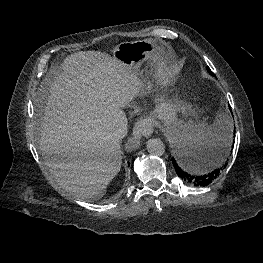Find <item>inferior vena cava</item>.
<instances>
[{
  "label": "inferior vena cava",
  "instance_id": "602c4592",
  "mask_svg": "<svg viewBox=\"0 0 263 263\" xmlns=\"http://www.w3.org/2000/svg\"><path fill=\"white\" fill-rule=\"evenodd\" d=\"M127 135V120L126 118L112 122L110 126V137L120 141Z\"/></svg>",
  "mask_w": 263,
  "mask_h": 263
}]
</instances>
